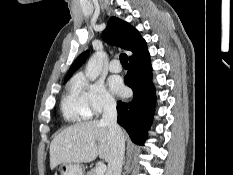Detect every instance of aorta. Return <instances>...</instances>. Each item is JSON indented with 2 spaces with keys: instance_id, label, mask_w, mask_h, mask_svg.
Here are the masks:
<instances>
[{
  "instance_id": "1",
  "label": "aorta",
  "mask_w": 233,
  "mask_h": 175,
  "mask_svg": "<svg viewBox=\"0 0 233 175\" xmlns=\"http://www.w3.org/2000/svg\"><path fill=\"white\" fill-rule=\"evenodd\" d=\"M105 57H106V53L96 52L89 59L86 65L85 75L91 81L96 80L98 76L100 75L102 68H103V62H104Z\"/></svg>"
}]
</instances>
